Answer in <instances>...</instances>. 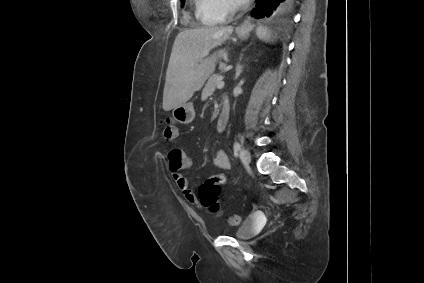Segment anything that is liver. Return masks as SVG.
Returning a JSON list of instances; mask_svg holds the SVG:
<instances>
[{
	"instance_id": "6515ba94",
	"label": "liver",
	"mask_w": 424,
	"mask_h": 283,
	"mask_svg": "<svg viewBox=\"0 0 424 283\" xmlns=\"http://www.w3.org/2000/svg\"><path fill=\"white\" fill-rule=\"evenodd\" d=\"M233 32V27H197L180 32L174 41L166 72L163 109L169 111L185 104L200 90L216 64L226 54L220 49L210 57L205 50L221 45Z\"/></svg>"
}]
</instances>
